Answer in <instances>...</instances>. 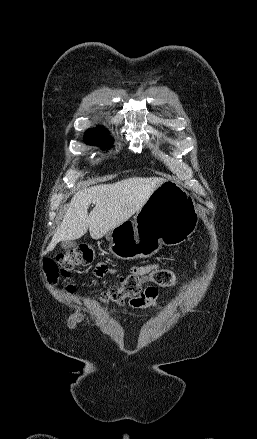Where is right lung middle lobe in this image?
Returning <instances> with one entry per match:
<instances>
[{
  "label": "right lung middle lobe",
  "mask_w": 257,
  "mask_h": 439,
  "mask_svg": "<svg viewBox=\"0 0 257 439\" xmlns=\"http://www.w3.org/2000/svg\"><path fill=\"white\" fill-rule=\"evenodd\" d=\"M84 141L91 145H100L102 148H109L112 145V139L107 137V133L102 128L89 129L84 136Z\"/></svg>",
  "instance_id": "dd1d6c3e"
}]
</instances>
